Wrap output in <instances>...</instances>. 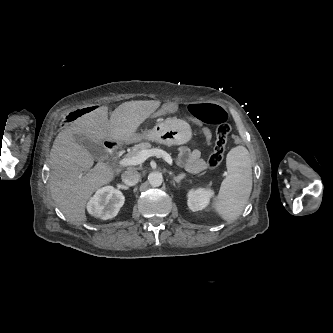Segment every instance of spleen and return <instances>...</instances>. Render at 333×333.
Segmentation results:
<instances>
[{
  "instance_id": "1",
  "label": "spleen",
  "mask_w": 333,
  "mask_h": 333,
  "mask_svg": "<svg viewBox=\"0 0 333 333\" xmlns=\"http://www.w3.org/2000/svg\"><path fill=\"white\" fill-rule=\"evenodd\" d=\"M251 163L250 153L244 146H237L227 154V176L221 183L213 206L228 222L242 214L249 200L252 190Z\"/></svg>"
}]
</instances>
